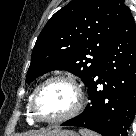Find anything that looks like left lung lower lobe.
<instances>
[{
	"label": "left lung lower lobe",
	"mask_w": 136,
	"mask_h": 136,
	"mask_svg": "<svg viewBox=\"0 0 136 136\" xmlns=\"http://www.w3.org/2000/svg\"><path fill=\"white\" fill-rule=\"evenodd\" d=\"M87 87V107L62 126L84 127L102 136H128L136 111V29L130 10Z\"/></svg>",
	"instance_id": "left-lung-lower-lobe-1"
}]
</instances>
